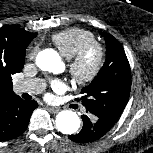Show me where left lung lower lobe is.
Wrapping results in <instances>:
<instances>
[{"mask_svg": "<svg viewBox=\"0 0 153 153\" xmlns=\"http://www.w3.org/2000/svg\"><path fill=\"white\" fill-rule=\"evenodd\" d=\"M83 128L75 135H69L68 138L78 143H90L103 137L111 127L103 120L94 117L92 114L82 116Z\"/></svg>", "mask_w": 153, "mask_h": 153, "instance_id": "left-lung-lower-lobe-1", "label": "left lung lower lobe"}]
</instances>
